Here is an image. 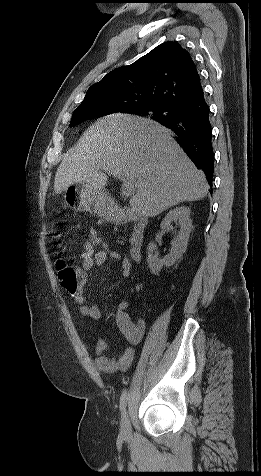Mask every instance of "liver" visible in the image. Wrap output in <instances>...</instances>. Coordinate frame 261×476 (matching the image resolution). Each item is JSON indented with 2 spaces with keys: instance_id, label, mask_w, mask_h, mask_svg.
I'll list each match as a JSON object with an SVG mask.
<instances>
[{
  "instance_id": "liver-1",
  "label": "liver",
  "mask_w": 261,
  "mask_h": 476,
  "mask_svg": "<svg viewBox=\"0 0 261 476\" xmlns=\"http://www.w3.org/2000/svg\"><path fill=\"white\" fill-rule=\"evenodd\" d=\"M104 172H118L135 186L129 201L133 213L155 217L184 201L208 193L205 175L161 124L139 116L112 114L97 120L59 165L54 190L86 183L102 190Z\"/></svg>"
}]
</instances>
